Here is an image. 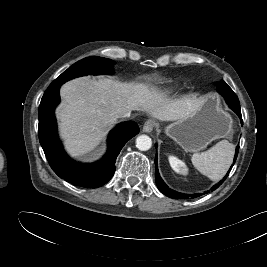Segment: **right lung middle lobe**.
I'll use <instances>...</instances> for the list:
<instances>
[{
    "mask_svg": "<svg viewBox=\"0 0 267 267\" xmlns=\"http://www.w3.org/2000/svg\"><path fill=\"white\" fill-rule=\"evenodd\" d=\"M113 61L107 58L98 56H92L84 58L63 72L57 79H55L45 93L50 92L56 86H61L64 82L73 79L75 77L84 76L88 74L99 75V74H112Z\"/></svg>",
    "mask_w": 267,
    "mask_h": 267,
    "instance_id": "obj_1",
    "label": "right lung middle lobe"
}]
</instances>
